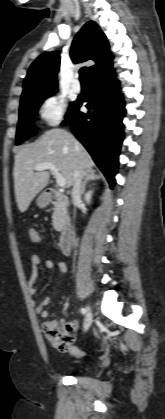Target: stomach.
Instances as JSON below:
<instances>
[{"label": "stomach", "instance_id": "obj_1", "mask_svg": "<svg viewBox=\"0 0 165 419\" xmlns=\"http://www.w3.org/2000/svg\"><path fill=\"white\" fill-rule=\"evenodd\" d=\"M37 204H38L40 207H42V206H44V205H45V202H44V201H42L41 199H38V200H37Z\"/></svg>", "mask_w": 165, "mask_h": 419}]
</instances>
